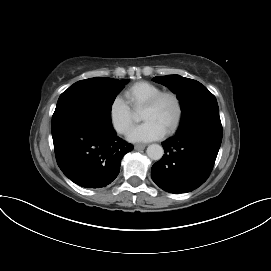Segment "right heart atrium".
<instances>
[{"label": "right heart atrium", "instance_id": "1", "mask_svg": "<svg viewBox=\"0 0 271 271\" xmlns=\"http://www.w3.org/2000/svg\"><path fill=\"white\" fill-rule=\"evenodd\" d=\"M109 121L112 128L119 134H126L134 123L130 106L121 97L116 96L109 106Z\"/></svg>", "mask_w": 271, "mask_h": 271}]
</instances>
